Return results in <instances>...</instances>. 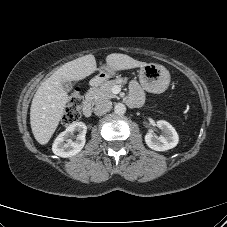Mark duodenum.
I'll return each mask as SVG.
<instances>
[{
  "mask_svg": "<svg viewBox=\"0 0 227 227\" xmlns=\"http://www.w3.org/2000/svg\"><path fill=\"white\" fill-rule=\"evenodd\" d=\"M106 78L105 74H99L98 76H96L91 83L92 87H95L97 85H99L102 81H104ZM83 114L86 117H90L92 115V103L90 101L89 98H87L83 104Z\"/></svg>",
  "mask_w": 227,
  "mask_h": 227,
  "instance_id": "duodenum-1",
  "label": "duodenum"
}]
</instances>
